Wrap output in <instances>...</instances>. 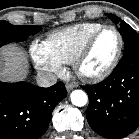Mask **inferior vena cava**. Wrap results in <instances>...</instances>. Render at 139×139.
Instances as JSON below:
<instances>
[{
  "label": "inferior vena cava",
  "mask_w": 139,
  "mask_h": 139,
  "mask_svg": "<svg viewBox=\"0 0 139 139\" xmlns=\"http://www.w3.org/2000/svg\"><path fill=\"white\" fill-rule=\"evenodd\" d=\"M36 80L40 87H50L57 82V76L53 73L39 72Z\"/></svg>",
  "instance_id": "obj_1"
}]
</instances>
